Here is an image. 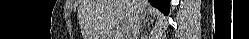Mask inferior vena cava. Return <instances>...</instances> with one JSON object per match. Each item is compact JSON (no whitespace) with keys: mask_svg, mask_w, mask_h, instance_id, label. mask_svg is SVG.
<instances>
[{"mask_svg":"<svg viewBox=\"0 0 249 39\" xmlns=\"http://www.w3.org/2000/svg\"><path fill=\"white\" fill-rule=\"evenodd\" d=\"M142 13L143 12L139 7V9L136 11V15L134 16L131 27L126 29L125 37L127 39H136L135 37L138 34L141 26Z\"/></svg>","mask_w":249,"mask_h":39,"instance_id":"obj_1","label":"inferior vena cava"}]
</instances>
